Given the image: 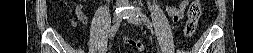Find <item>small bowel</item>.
I'll return each instance as SVG.
<instances>
[{
    "label": "small bowel",
    "mask_w": 253,
    "mask_h": 53,
    "mask_svg": "<svg viewBox=\"0 0 253 53\" xmlns=\"http://www.w3.org/2000/svg\"><path fill=\"white\" fill-rule=\"evenodd\" d=\"M189 4V1H182L179 5V7H167L166 10L168 12V14L170 16H172V18L177 21L178 19H180L183 14L184 11L187 7V5ZM77 17L79 19V21L81 22V24L85 25L87 23V19L85 17V15L81 12L80 7H78L77 9Z\"/></svg>",
    "instance_id": "c3829d8e"
}]
</instances>
